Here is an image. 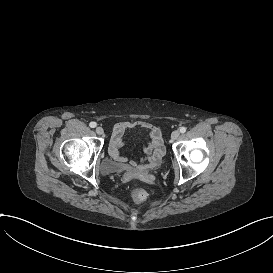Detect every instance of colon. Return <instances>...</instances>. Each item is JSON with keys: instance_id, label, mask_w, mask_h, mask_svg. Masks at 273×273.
<instances>
[{"instance_id": "colon-1", "label": "colon", "mask_w": 273, "mask_h": 273, "mask_svg": "<svg viewBox=\"0 0 273 273\" xmlns=\"http://www.w3.org/2000/svg\"><path fill=\"white\" fill-rule=\"evenodd\" d=\"M127 197L138 204H145L149 200V194L143 188L132 187L127 192Z\"/></svg>"}]
</instances>
